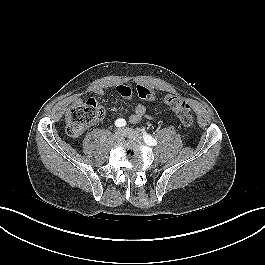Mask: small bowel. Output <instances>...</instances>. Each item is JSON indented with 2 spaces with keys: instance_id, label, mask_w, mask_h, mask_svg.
I'll return each instance as SVG.
<instances>
[{
  "instance_id": "small-bowel-1",
  "label": "small bowel",
  "mask_w": 265,
  "mask_h": 265,
  "mask_svg": "<svg viewBox=\"0 0 265 265\" xmlns=\"http://www.w3.org/2000/svg\"><path fill=\"white\" fill-rule=\"evenodd\" d=\"M118 93L123 96L126 99L131 98V89L128 86L125 85H119L117 87ZM96 93L98 95H103L104 91L102 89H97ZM147 116V110L146 107L142 104H138L135 107V112L129 117L130 122L132 123H138L143 117Z\"/></svg>"
}]
</instances>
